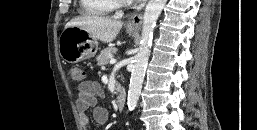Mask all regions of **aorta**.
Returning <instances> with one entry per match:
<instances>
[{
    "label": "aorta",
    "instance_id": "obj_1",
    "mask_svg": "<svg viewBox=\"0 0 257 130\" xmlns=\"http://www.w3.org/2000/svg\"><path fill=\"white\" fill-rule=\"evenodd\" d=\"M165 3L166 0H149L145 9L140 48L137 55L135 56V62L128 91L127 105L130 111L135 109L139 99L144 81L145 70L150 55L154 27L162 9L164 8Z\"/></svg>",
    "mask_w": 257,
    "mask_h": 130
}]
</instances>
